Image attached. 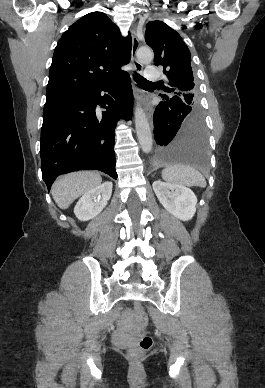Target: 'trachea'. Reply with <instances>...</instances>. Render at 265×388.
Listing matches in <instances>:
<instances>
[{"mask_svg":"<svg viewBox=\"0 0 265 388\" xmlns=\"http://www.w3.org/2000/svg\"><path fill=\"white\" fill-rule=\"evenodd\" d=\"M134 79L137 83L141 84V85H145V84H148V83H153V82H149L148 80H146V78H143L142 76L138 75V74H135L134 75Z\"/></svg>","mask_w":265,"mask_h":388,"instance_id":"1","label":"trachea"}]
</instances>
